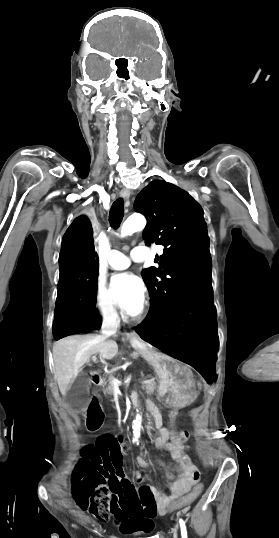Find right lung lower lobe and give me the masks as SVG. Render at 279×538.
<instances>
[{"label":"right lung lower lobe","mask_w":279,"mask_h":538,"mask_svg":"<svg viewBox=\"0 0 279 538\" xmlns=\"http://www.w3.org/2000/svg\"><path fill=\"white\" fill-rule=\"evenodd\" d=\"M92 234L89 220L81 216L63 236L53 322L56 340L101 326L102 318L96 311L98 258Z\"/></svg>","instance_id":"1"}]
</instances>
